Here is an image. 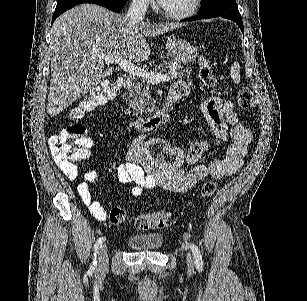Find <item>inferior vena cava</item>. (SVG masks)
Here are the masks:
<instances>
[{"label":"inferior vena cava","mask_w":307,"mask_h":301,"mask_svg":"<svg viewBox=\"0 0 307 301\" xmlns=\"http://www.w3.org/2000/svg\"><path fill=\"white\" fill-rule=\"evenodd\" d=\"M147 8L148 4L146 0H132L128 8L127 16L131 18L132 22H140V20H143Z\"/></svg>","instance_id":"obj_1"}]
</instances>
